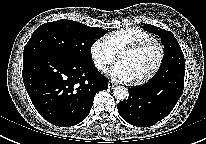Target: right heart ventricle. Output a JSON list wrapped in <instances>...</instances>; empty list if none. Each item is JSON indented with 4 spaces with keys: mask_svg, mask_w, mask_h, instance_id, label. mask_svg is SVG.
Listing matches in <instances>:
<instances>
[{
    "mask_svg": "<svg viewBox=\"0 0 206 144\" xmlns=\"http://www.w3.org/2000/svg\"><path fill=\"white\" fill-rule=\"evenodd\" d=\"M150 38H152L151 34L135 27L119 29L105 37L115 54H118L124 47L128 45L135 44Z\"/></svg>",
    "mask_w": 206,
    "mask_h": 144,
    "instance_id": "right-heart-ventricle-1",
    "label": "right heart ventricle"
}]
</instances>
